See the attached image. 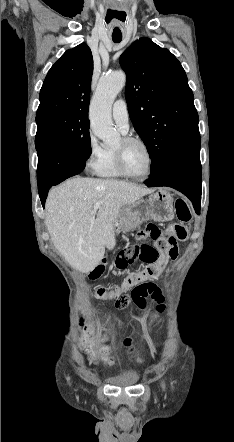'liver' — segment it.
<instances>
[{
	"mask_svg": "<svg viewBox=\"0 0 234 442\" xmlns=\"http://www.w3.org/2000/svg\"><path fill=\"white\" fill-rule=\"evenodd\" d=\"M151 192L125 181L69 179L52 188L46 201L45 223L51 240L71 267L89 273L101 263L105 248L115 247L121 209ZM97 202L101 205L96 214Z\"/></svg>",
	"mask_w": 234,
	"mask_h": 442,
	"instance_id": "obj_1",
	"label": "liver"
}]
</instances>
